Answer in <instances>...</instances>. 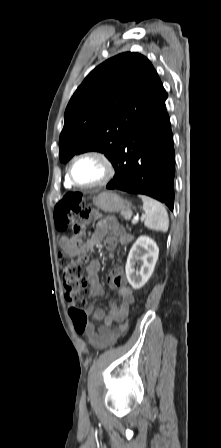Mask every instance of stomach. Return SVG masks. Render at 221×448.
<instances>
[{
  "label": "stomach",
  "instance_id": "obj_1",
  "mask_svg": "<svg viewBox=\"0 0 221 448\" xmlns=\"http://www.w3.org/2000/svg\"><path fill=\"white\" fill-rule=\"evenodd\" d=\"M93 203L97 208L107 213L121 212V214L131 215V203L111 191L100 193L93 199Z\"/></svg>",
  "mask_w": 221,
  "mask_h": 448
}]
</instances>
